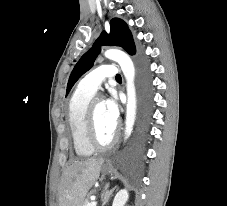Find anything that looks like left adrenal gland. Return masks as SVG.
Listing matches in <instances>:
<instances>
[{"label": "left adrenal gland", "instance_id": "1", "mask_svg": "<svg viewBox=\"0 0 227 206\" xmlns=\"http://www.w3.org/2000/svg\"><path fill=\"white\" fill-rule=\"evenodd\" d=\"M108 187H109V185H107L106 186V188H105V191H104V193H103V203H102V206H104L107 202H108V200H109V198H110V196L112 195V193L114 192V190L118 187V186H115L113 189H111V190H108Z\"/></svg>", "mask_w": 227, "mask_h": 206}]
</instances>
